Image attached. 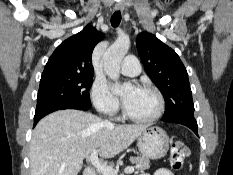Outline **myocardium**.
Returning <instances> with one entry per match:
<instances>
[{
	"mask_svg": "<svg viewBox=\"0 0 233 175\" xmlns=\"http://www.w3.org/2000/svg\"><path fill=\"white\" fill-rule=\"evenodd\" d=\"M141 89H144V90H148V91H151L155 96H156V99H157V109L156 111L148 116V117H136L132 114H130L125 106V103L123 102L122 104V113H123V116L132 121V122H135V123H151V122H154L156 121L157 119H159L162 114L164 113V110H165V99H164V96L162 94V92L154 85H151V84H143L140 86Z\"/></svg>",
	"mask_w": 233,
	"mask_h": 175,
	"instance_id": "1",
	"label": "myocardium"
}]
</instances>
